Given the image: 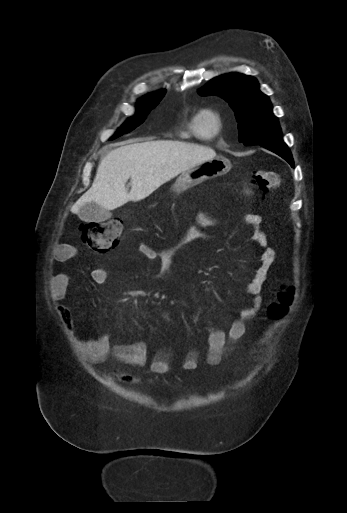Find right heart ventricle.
<instances>
[{
  "label": "right heart ventricle",
  "instance_id": "e07e8e85",
  "mask_svg": "<svg viewBox=\"0 0 347 513\" xmlns=\"http://www.w3.org/2000/svg\"><path fill=\"white\" fill-rule=\"evenodd\" d=\"M197 115H198V112L193 114L189 118L187 125H186L185 136L186 137L193 136V137H197L199 139H209V138L205 137L202 133L199 132V130L197 128Z\"/></svg>",
  "mask_w": 347,
  "mask_h": 513
}]
</instances>
